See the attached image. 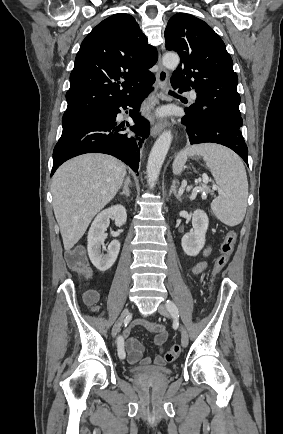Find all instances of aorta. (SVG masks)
<instances>
[{"instance_id":"obj_1","label":"aorta","mask_w":283,"mask_h":434,"mask_svg":"<svg viewBox=\"0 0 283 434\" xmlns=\"http://www.w3.org/2000/svg\"><path fill=\"white\" fill-rule=\"evenodd\" d=\"M162 61L166 68L176 69L180 62V58L175 53H167L163 56ZM171 141V131L163 132L154 143V146L150 152L147 163V178L151 188L154 187L155 182L158 179L162 164L170 148Z\"/></svg>"}]
</instances>
